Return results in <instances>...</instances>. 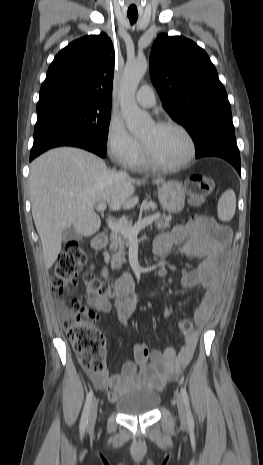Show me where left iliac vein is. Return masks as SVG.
Returning a JSON list of instances; mask_svg holds the SVG:
<instances>
[{"instance_id": "left-iliac-vein-1", "label": "left iliac vein", "mask_w": 263, "mask_h": 465, "mask_svg": "<svg viewBox=\"0 0 263 465\" xmlns=\"http://www.w3.org/2000/svg\"><path fill=\"white\" fill-rule=\"evenodd\" d=\"M176 404H177V409H178V414H179L180 420L183 423H186L187 422V414H186L185 406H184V403H183V400H182V397H181L180 394L176 395Z\"/></svg>"}]
</instances>
